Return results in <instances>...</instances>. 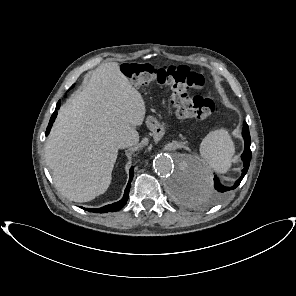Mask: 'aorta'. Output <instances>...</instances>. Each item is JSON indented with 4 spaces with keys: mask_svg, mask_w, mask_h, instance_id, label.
Returning <instances> with one entry per match:
<instances>
[{
    "mask_svg": "<svg viewBox=\"0 0 296 296\" xmlns=\"http://www.w3.org/2000/svg\"><path fill=\"white\" fill-rule=\"evenodd\" d=\"M153 167L163 178L169 196L183 206H198L211 193L212 176L193 155L158 154Z\"/></svg>",
    "mask_w": 296,
    "mask_h": 296,
    "instance_id": "1",
    "label": "aorta"
}]
</instances>
